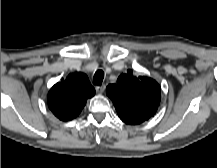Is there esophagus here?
Masks as SVG:
<instances>
[{"instance_id": "obj_1", "label": "esophagus", "mask_w": 217, "mask_h": 168, "mask_svg": "<svg viewBox=\"0 0 217 168\" xmlns=\"http://www.w3.org/2000/svg\"><path fill=\"white\" fill-rule=\"evenodd\" d=\"M95 89L98 94H102L105 91V85L97 86Z\"/></svg>"}]
</instances>
